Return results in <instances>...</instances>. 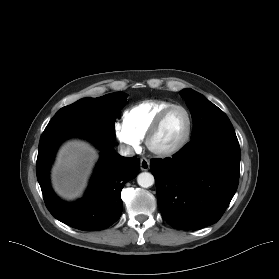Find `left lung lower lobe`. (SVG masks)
I'll return each instance as SVG.
<instances>
[{"mask_svg": "<svg viewBox=\"0 0 279 279\" xmlns=\"http://www.w3.org/2000/svg\"><path fill=\"white\" fill-rule=\"evenodd\" d=\"M240 158L235 131H214L191 139L172 159L151 160L163 218L180 230L216 223L237 190Z\"/></svg>", "mask_w": 279, "mask_h": 279, "instance_id": "0a47b994", "label": "left lung lower lobe"}]
</instances>
